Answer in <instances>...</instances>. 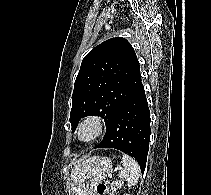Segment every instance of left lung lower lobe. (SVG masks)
<instances>
[{
  "instance_id": "obj_1",
  "label": "left lung lower lobe",
  "mask_w": 211,
  "mask_h": 195,
  "mask_svg": "<svg viewBox=\"0 0 211 195\" xmlns=\"http://www.w3.org/2000/svg\"><path fill=\"white\" fill-rule=\"evenodd\" d=\"M150 142V111L144 86L121 107L107 126L103 140L95 148H115L135 158L145 170Z\"/></svg>"
}]
</instances>
